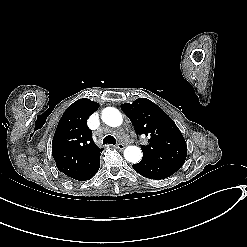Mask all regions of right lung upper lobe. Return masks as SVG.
Returning a JSON list of instances; mask_svg holds the SVG:
<instances>
[{
	"label": "right lung upper lobe",
	"instance_id": "cb5924a9",
	"mask_svg": "<svg viewBox=\"0 0 247 247\" xmlns=\"http://www.w3.org/2000/svg\"><path fill=\"white\" fill-rule=\"evenodd\" d=\"M99 107L97 102L79 99L62 115L52 141V156L58 170L68 177L83 174L100 157L103 148L95 145L86 122Z\"/></svg>",
	"mask_w": 247,
	"mask_h": 247
}]
</instances>
